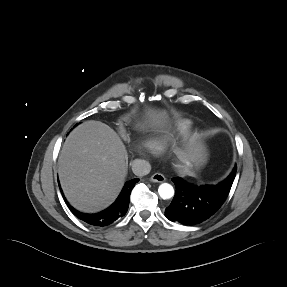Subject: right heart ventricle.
<instances>
[{"instance_id":"e07e8e85","label":"right heart ventricle","mask_w":287,"mask_h":287,"mask_svg":"<svg viewBox=\"0 0 287 287\" xmlns=\"http://www.w3.org/2000/svg\"><path fill=\"white\" fill-rule=\"evenodd\" d=\"M189 130L190 125L186 121L173 122L163 132L153 138V145L157 151H162L170 139L186 134Z\"/></svg>"}]
</instances>
